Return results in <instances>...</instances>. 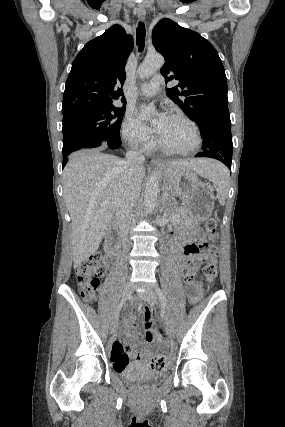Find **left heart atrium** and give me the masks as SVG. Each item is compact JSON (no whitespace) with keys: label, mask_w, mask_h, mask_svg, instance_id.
Wrapping results in <instances>:
<instances>
[{"label":"left heart atrium","mask_w":285,"mask_h":427,"mask_svg":"<svg viewBox=\"0 0 285 427\" xmlns=\"http://www.w3.org/2000/svg\"><path fill=\"white\" fill-rule=\"evenodd\" d=\"M141 117L145 118V111L142 110L141 111ZM168 116L164 113H159L156 119V123H155V131L160 135L162 133L163 130V126L167 120Z\"/></svg>","instance_id":"1"}]
</instances>
